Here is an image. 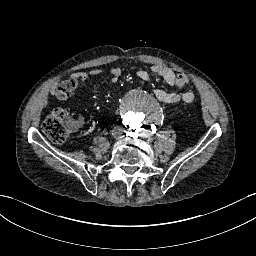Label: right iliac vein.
Returning <instances> with one entry per match:
<instances>
[{"label":"right iliac vein","instance_id":"63e3f726","mask_svg":"<svg viewBox=\"0 0 256 256\" xmlns=\"http://www.w3.org/2000/svg\"><path fill=\"white\" fill-rule=\"evenodd\" d=\"M116 135H117L116 132H114V133H113V136H116Z\"/></svg>","mask_w":256,"mask_h":256}]
</instances>
